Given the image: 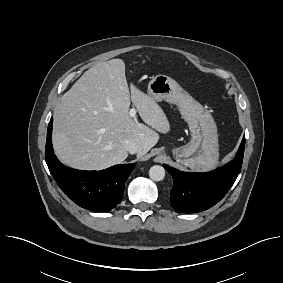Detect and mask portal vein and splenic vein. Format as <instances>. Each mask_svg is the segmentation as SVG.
Instances as JSON below:
<instances>
[{
	"label": "portal vein and splenic vein",
	"mask_w": 283,
	"mask_h": 283,
	"mask_svg": "<svg viewBox=\"0 0 283 283\" xmlns=\"http://www.w3.org/2000/svg\"><path fill=\"white\" fill-rule=\"evenodd\" d=\"M129 115L131 118H134L136 116V109L135 108L130 109Z\"/></svg>",
	"instance_id": "portal-vein-and-splenic-vein-1"
}]
</instances>
